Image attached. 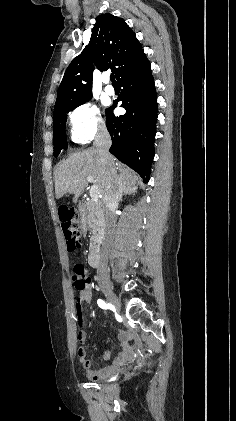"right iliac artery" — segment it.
<instances>
[{"instance_id": "right-iliac-artery-1", "label": "right iliac artery", "mask_w": 236, "mask_h": 421, "mask_svg": "<svg viewBox=\"0 0 236 421\" xmlns=\"http://www.w3.org/2000/svg\"><path fill=\"white\" fill-rule=\"evenodd\" d=\"M97 303H98L99 307H100V308H102V309H110V307L112 306V304H110V303H105V302H104L103 300H101V299H98Z\"/></svg>"}]
</instances>
